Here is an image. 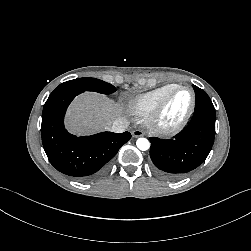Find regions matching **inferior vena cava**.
I'll use <instances>...</instances> for the list:
<instances>
[{"label":"inferior vena cava","instance_id":"obj_1","mask_svg":"<svg viewBox=\"0 0 251 251\" xmlns=\"http://www.w3.org/2000/svg\"><path fill=\"white\" fill-rule=\"evenodd\" d=\"M128 126H129V122L126 119L119 118V119H116L112 123L110 129H111L112 132L122 133L127 129Z\"/></svg>","mask_w":251,"mask_h":251}]
</instances>
